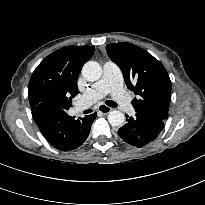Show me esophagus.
<instances>
[{"mask_svg":"<svg viewBox=\"0 0 205 205\" xmlns=\"http://www.w3.org/2000/svg\"><path fill=\"white\" fill-rule=\"evenodd\" d=\"M111 110H112V108H110L109 106L104 105V104H101V105H99V107H98V111H99V112H102V113H104V114L109 113Z\"/></svg>","mask_w":205,"mask_h":205,"instance_id":"obj_1","label":"esophagus"}]
</instances>
